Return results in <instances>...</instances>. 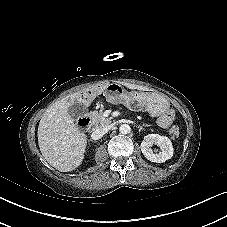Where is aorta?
I'll return each instance as SVG.
<instances>
[{"label":"aorta","instance_id":"obj_1","mask_svg":"<svg viewBox=\"0 0 227 227\" xmlns=\"http://www.w3.org/2000/svg\"><path fill=\"white\" fill-rule=\"evenodd\" d=\"M121 134H128L131 131V127L128 124H122L119 128Z\"/></svg>","mask_w":227,"mask_h":227}]
</instances>
